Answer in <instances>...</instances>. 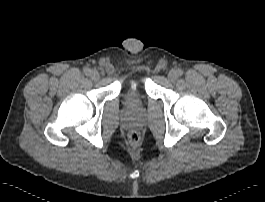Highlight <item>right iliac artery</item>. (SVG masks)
Wrapping results in <instances>:
<instances>
[{"instance_id":"1","label":"right iliac artery","mask_w":265,"mask_h":202,"mask_svg":"<svg viewBox=\"0 0 265 202\" xmlns=\"http://www.w3.org/2000/svg\"><path fill=\"white\" fill-rule=\"evenodd\" d=\"M83 72H84V74H85L86 76H88V75H90V73H91V69H90V68H84Z\"/></svg>"}]
</instances>
